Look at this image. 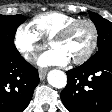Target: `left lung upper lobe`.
I'll list each match as a JSON object with an SVG mask.
<instances>
[{"label":"left lung upper lobe","instance_id":"5c2ea615","mask_svg":"<svg viewBox=\"0 0 112 112\" xmlns=\"http://www.w3.org/2000/svg\"><path fill=\"white\" fill-rule=\"evenodd\" d=\"M89 15L98 31V42H97L98 51L93 57L90 58L92 59L101 53L112 51V22L90 11Z\"/></svg>","mask_w":112,"mask_h":112}]
</instances>
